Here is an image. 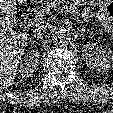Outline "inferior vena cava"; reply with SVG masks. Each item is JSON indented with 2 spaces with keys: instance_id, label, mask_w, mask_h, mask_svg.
<instances>
[{
  "instance_id": "inferior-vena-cava-1",
  "label": "inferior vena cava",
  "mask_w": 113,
  "mask_h": 113,
  "mask_svg": "<svg viewBox=\"0 0 113 113\" xmlns=\"http://www.w3.org/2000/svg\"><path fill=\"white\" fill-rule=\"evenodd\" d=\"M51 28V25L46 23V24H42L39 25L38 27H36L33 32L37 35H41L43 33H45L47 30H49Z\"/></svg>"
}]
</instances>
